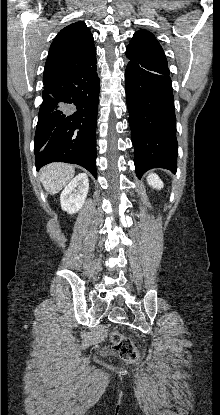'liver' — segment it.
Masks as SVG:
<instances>
[{
    "label": "liver",
    "mask_w": 220,
    "mask_h": 415,
    "mask_svg": "<svg viewBox=\"0 0 220 415\" xmlns=\"http://www.w3.org/2000/svg\"><path fill=\"white\" fill-rule=\"evenodd\" d=\"M74 174L75 170L72 165L52 163L42 168L40 178L45 189L54 195L70 182Z\"/></svg>",
    "instance_id": "obj_1"
}]
</instances>
